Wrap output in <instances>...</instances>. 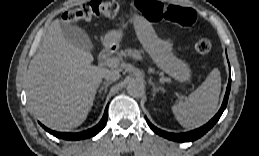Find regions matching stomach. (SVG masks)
<instances>
[{"label": "stomach", "mask_w": 259, "mask_h": 156, "mask_svg": "<svg viewBox=\"0 0 259 156\" xmlns=\"http://www.w3.org/2000/svg\"><path fill=\"white\" fill-rule=\"evenodd\" d=\"M131 22L134 24L142 46L148 52L155 65L180 83L190 81V68L185 61L176 57L172 43L168 40L160 39L151 24L144 18L133 15ZM121 37L122 30H116L109 32L106 38L110 44L118 45Z\"/></svg>", "instance_id": "1"}]
</instances>
